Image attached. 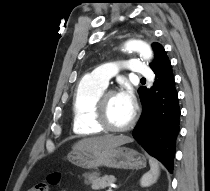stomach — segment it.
<instances>
[{"instance_id": "1", "label": "stomach", "mask_w": 210, "mask_h": 191, "mask_svg": "<svg viewBox=\"0 0 210 191\" xmlns=\"http://www.w3.org/2000/svg\"><path fill=\"white\" fill-rule=\"evenodd\" d=\"M68 159L84 169L107 167L115 169L139 170L146 166V159L137 151L126 147H113L103 150H73Z\"/></svg>"}]
</instances>
